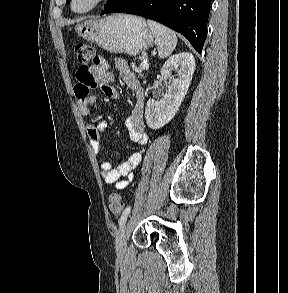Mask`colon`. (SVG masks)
<instances>
[{
  "label": "colon",
  "mask_w": 288,
  "mask_h": 293,
  "mask_svg": "<svg viewBox=\"0 0 288 293\" xmlns=\"http://www.w3.org/2000/svg\"><path fill=\"white\" fill-rule=\"evenodd\" d=\"M75 53L78 59V62L81 66L88 68L91 62H94L96 59V54L92 46L84 42H77L75 44ZM108 205L110 211L119 215L124 207L123 198L119 193H112L108 199Z\"/></svg>",
  "instance_id": "obj_1"
}]
</instances>
